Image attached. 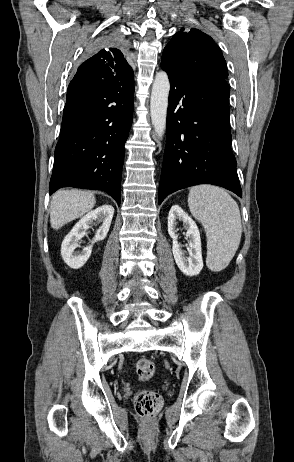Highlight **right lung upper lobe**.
Wrapping results in <instances>:
<instances>
[{
    "mask_svg": "<svg viewBox=\"0 0 294 462\" xmlns=\"http://www.w3.org/2000/svg\"><path fill=\"white\" fill-rule=\"evenodd\" d=\"M133 70L117 48L107 47L83 62L68 86L67 94L80 95L126 81Z\"/></svg>",
    "mask_w": 294,
    "mask_h": 462,
    "instance_id": "obj_1",
    "label": "right lung upper lobe"
}]
</instances>
